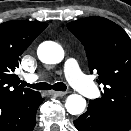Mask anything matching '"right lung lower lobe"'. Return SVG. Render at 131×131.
<instances>
[{
	"label": "right lung lower lobe",
	"mask_w": 131,
	"mask_h": 131,
	"mask_svg": "<svg viewBox=\"0 0 131 131\" xmlns=\"http://www.w3.org/2000/svg\"><path fill=\"white\" fill-rule=\"evenodd\" d=\"M43 100L39 92L22 97H0V131H32Z\"/></svg>",
	"instance_id": "obj_1"
}]
</instances>
